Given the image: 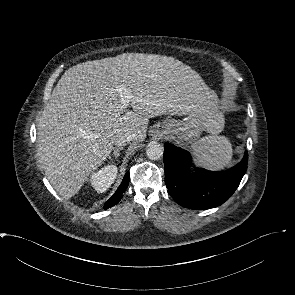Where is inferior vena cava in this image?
Segmentation results:
<instances>
[{
	"label": "inferior vena cava",
	"instance_id": "inferior-vena-cava-1",
	"mask_svg": "<svg viewBox=\"0 0 295 295\" xmlns=\"http://www.w3.org/2000/svg\"><path fill=\"white\" fill-rule=\"evenodd\" d=\"M133 140H136V134L133 132H126V133H123L122 135L117 136L114 141V144L117 145L118 147L124 146Z\"/></svg>",
	"mask_w": 295,
	"mask_h": 295
}]
</instances>
